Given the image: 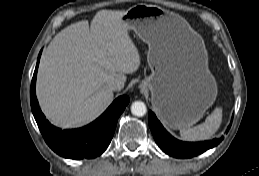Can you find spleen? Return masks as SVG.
Here are the masks:
<instances>
[{"instance_id": "obj_1", "label": "spleen", "mask_w": 259, "mask_h": 176, "mask_svg": "<svg viewBox=\"0 0 259 176\" xmlns=\"http://www.w3.org/2000/svg\"><path fill=\"white\" fill-rule=\"evenodd\" d=\"M222 108L217 107L203 124L189 129H181L180 136L186 141H205L218 131L222 123Z\"/></svg>"}]
</instances>
